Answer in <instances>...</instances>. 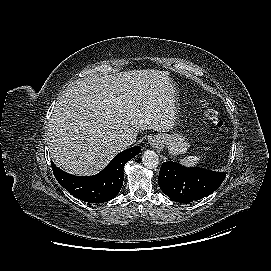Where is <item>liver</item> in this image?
<instances>
[{"mask_svg":"<svg viewBox=\"0 0 271 271\" xmlns=\"http://www.w3.org/2000/svg\"><path fill=\"white\" fill-rule=\"evenodd\" d=\"M174 88L167 71L154 69L78 80L56 101L48 125L51 158L75 175L98 173L122 151V134L135 139L137 131L174 127Z\"/></svg>","mask_w":271,"mask_h":271,"instance_id":"6515ba94","label":"liver"}]
</instances>
